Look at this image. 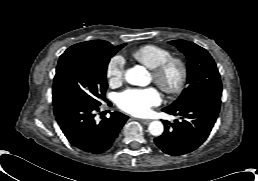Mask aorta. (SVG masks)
<instances>
[{
	"label": "aorta",
	"mask_w": 258,
	"mask_h": 181,
	"mask_svg": "<svg viewBox=\"0 0 258 181\" xmlns=\"http://www.w3.org/2000/svg\"><path fill=\"white\" fill-rule=\"evenodd\" d=\"M125 80L131 85L145 86L147 84V71L142 66L130 68L125 72ZM148 130L153 136H160L164 131V126L161 121H152Z\"/></svg>",
	"instance_id": "762f6f07"
}]
</instances>
